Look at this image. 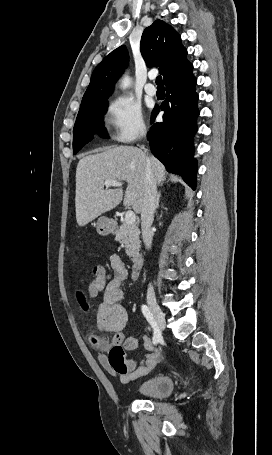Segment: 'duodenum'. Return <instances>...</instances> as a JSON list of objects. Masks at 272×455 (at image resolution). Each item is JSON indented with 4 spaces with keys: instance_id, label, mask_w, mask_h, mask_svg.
<instances>
[{
    "instance_id": "1",
    "label": "duodenum",
    "mask_w": 272,
    "mask_h": 455,
    "mask_svg": "<svg viewBox=\"0 0 272 455\" xmlns=\"http://www.w3.org/2000/svg\"><path fill=\"white\" fill-rule=\"evenodd\" d=\"M143 267V258L141 255H136L133 259L131 276L133 279H138Z\"/></svg>"
}]
</instances>
